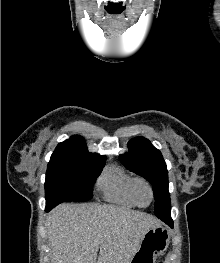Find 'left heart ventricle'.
Returning <instances> with one entry per match:
<instances>
[{
    "label": "left heart ventricle",
    "instance_id": "b2bd125f",
    "mask_svg": "<svg viewBox=\"0 0 220 263\" xmlns=\"http://www.w3.org/2000/svg\"><path fill=\"white\" fill-rule=\"evenodd\" d=\"M138 197H139L140 203L142 204H147L150 199L148 191L143 187L139 189Z\"/></svg>",
    "mask_w": 220,
    "mask_h": 263
}]
</instances>
